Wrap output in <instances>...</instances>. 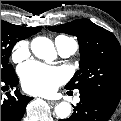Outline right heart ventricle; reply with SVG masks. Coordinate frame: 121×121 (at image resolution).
<instances>
[{
    "label": "right heart ventricle",
    "instance_id": "1",
    "mask_svg": "<svg viewBox=\"0 0 121 121\" xmlns=\"http://www.w3.org/2000/svg\"><path fill=\"white\" fill-rule=\"evenodd\" d=\"M56 39H69V40H71L70 38H67V37H65V36H58ZM55 39V40H56Z\"/></svg>",
    "mask_w": 121,
    "mask_h": 121
}]
</instances>
